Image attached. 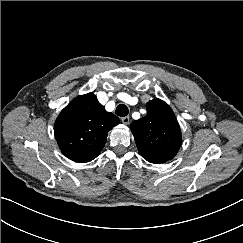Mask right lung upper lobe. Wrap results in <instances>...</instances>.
<instances>
[{"label": "right lung upper lobe", "mask_w": 243, "mask_h": 243, "mask_svg": "<svg viewBox=\"0 0 243 243\" xmlns=\"http://www.w3.org/2000/svg\"><path fill=\"white\" fill-rule=\"evenodd\" d=\"M119 118L106 112L93 93L78 96L60 113L54 135L62 153L75 162H89L102 151L108 131Z\"/></svg>", "instance_id": "cb5924a9"}]
</instances>
